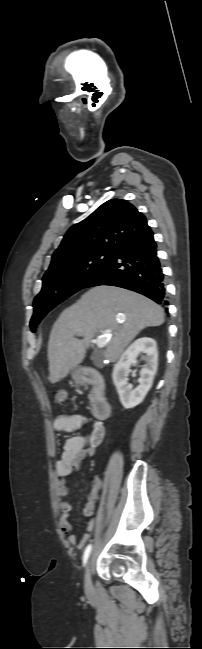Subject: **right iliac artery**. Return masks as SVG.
<instances>
[{
  "instance_id": "obj_1",
  "label": "right iliac artery",
  "mask_w": 202,
  "mask_h": 649,
  "mask_svg": "<svg viewBox=\"0 0 202 649\" xmlns=\"http://www.w3.org/2000/svg\"><path fill=\"white\" fill-rule=\"evenodd\" d=\"M91 549H92V546H91V544H89L86 547L85 551H84V555H83V562L84 563H86V561L88 560V557H89V555L91 553Z\"/></svg>"
}]
</instances>
